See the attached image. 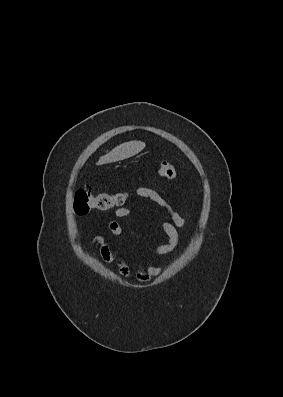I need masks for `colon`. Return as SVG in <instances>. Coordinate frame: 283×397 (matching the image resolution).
I'll return each instance as SVG.
<instances>
[{"mask_svg": "<svg viewBox=\"0 0 283 397\" xmlns=\"http://www.w3.org/2000/svg\"><path fill=\"white\" fill-rule=\"evenodd\" d=\"M158 173L164 179H173L177 175L176 167L169 162L158 166ZM126 196L123 193L94 194L89 189H78L74 194L73 208L76 214L85 215L91 210L106 211L121 206Z\"/></svg>", "mask_w": 283, "mask_h": 397, "instance_id": "5ec220e1", "label": "colon"}]
</instances>
